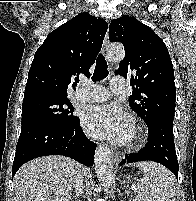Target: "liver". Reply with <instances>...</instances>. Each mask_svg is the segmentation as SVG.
<instances>
[{
  "label": "liver",
  "instance_id": "liver-1",
  "mask_svg": "<svg viewBox=\"0 0 196 201\" xmlns=\"http://www.w3.org/2000/svg\"><path fill=\"white\" fill-rule=\"evenodd\" d=\"M81 169L79 163L64 156L35 158L14 176V201H69Z\"/></svg>",
  "mask_w": 196,
  "mask_h": 201
}]
</instances>
